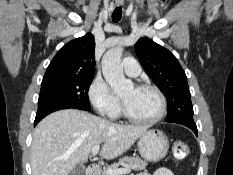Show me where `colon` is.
Returning <instances> with one entry per match:
<instances>
[{
	"instance_id": "5ec220e1",
	"label": "colon",
	"mask_w": 233,
	"mask_h": 175,
	"mask_svg": "<svg viewBox=\"0 0 233 175\" xmlns=\"http://www.w3.org/2000/svg\"><path fill=\"white\" fill-rule=\"evenodd\" d=\"M172 150L175 159L181 160L188 155L190 148L188 143L178 140L173 143Z\"/></svg>"
}]
</instances>
